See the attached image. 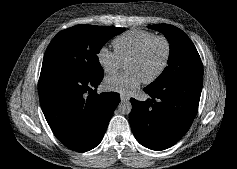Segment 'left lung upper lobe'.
<instances>
[{
    "mask_svg": "<svg viewBox=\"0 0 237 169\" xmlns=\"http://www.w3.org/2000/svg\"><path fill=\"white\" fill-rule=\"evenodd\" d=\"M148 27L163 33L170 44L168 66L149 86H157L188 77L203 76L200 56L192 41L182 30L167 24Z\"/></svg>",
    "mask_w": 237,
    "mask_h": 169,
    "instance_id": "1",
    "label": "left lung upper lobe"
}]
</instances>
